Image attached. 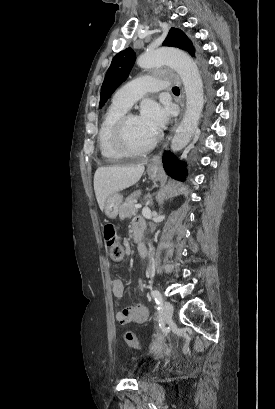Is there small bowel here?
Here are the masks:
<instances>
[{"instance_id": "obj_1", "label": "small bowel", "mask_w": 275, "mask_h": 409, "mask_svg": "<svg viewBox=\"0 0 275 409\" xmlns=\"http://www.w3.org/2000/svg\"><path fill=\"white\" fill-rule=\"evenodd\" d=\"M142 255L145 256V254ZM136 286L139 290H142L144 288V283L142 281H139ZM112 290L114 295L118 298H122L125 294V286L119 279L113 280ZM148 315V309L143 304H136L121 309L117 314V318L121 324L144 323L147 321Z\"/></svg>"}]
</instances>
